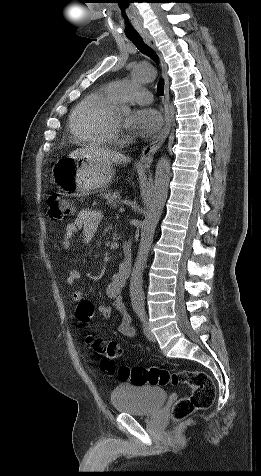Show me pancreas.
I'll list each match as a JSON object with an SVG mask.
<instances>
[{"label":"pancreas","mask_w":261,"mask_h":476,"mask_svg":"<svg viewBox=\"0 0 261 476\" xmlns=\"http://www.w3.org/2000/svg\"><path fill=\"white\" fill-rule=\"evenodd\" d=\"M103 197L106 199V203L110 206L116 207L121 200L120 192L116 191L114 193L108 192L104 193Z\"/></svg>","instance_id":"pancreas-1"}]
</instances>
